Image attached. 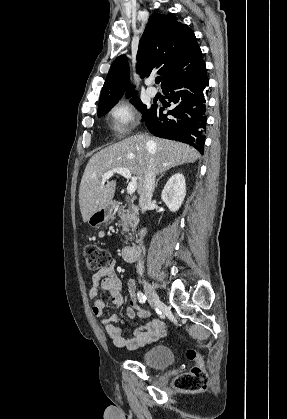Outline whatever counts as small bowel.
I'll use <instances>...</instances> for the list:
<instances>
[{
	"label": "small bowel",
	"mask_w": 287,
	"mask_h": 419,
	"mask_svg": "<svg viewBox=\"0 0 287 419\" xmlns=\"http://www.w3.org/2000/svg\"><path fill=\"white\" fill-rule=\"evenodd\" d=\"M116 265V260H113L107 267L93 275L92 285L89 290V296L93 300L92 311L96 317L102 320L107 334L116 347L136 350L163 337L166 333V326L162 320L156 319L140 326L132 336L126 337L123 335L122 328L117 325L122 323V318L118 313H114L108 318L105 317L108 303L104 299L97 298L99 291L107 293L109 301L115 308L120 307L124 302L122 283L116 274ZM127 288L131 306L127 309L126 314L132 319L135 316L133 309L135 304V283L132 279L128 280ZM140 317L144 318L145 313L141 312Z\"/></svg>",
	"instance_id": "obj_1"
}]
</instances>
